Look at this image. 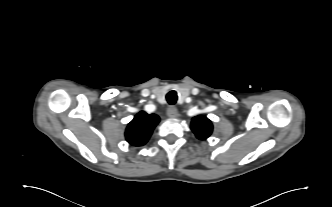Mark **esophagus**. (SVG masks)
Here are the masks:
<instances>
[{
  "label": "esophagus",
  "mask_w": 332,
  "mask_h": 207,
  "mask_svg": "<svg viewBox=\"0 0 332 207\" xmlns=\"http://www.w3.org/2000/svg\"><path fill=\"white\" fill-rule=\"evenodd\" d=\"M167 115L168 117L170 118H176L178 116V110L176 107L174 106H170L168 109H167Z\"/></svg>",
  "instance_id": "1"
}]
</instances>
